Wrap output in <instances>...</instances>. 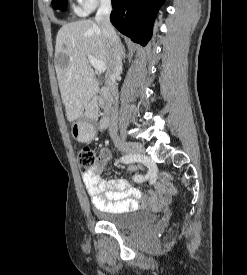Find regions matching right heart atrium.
I'll return each instance as SVG.
<instances>
[{"mask_svg":"<svg viewBox=\"0 0 247 275\" xmlns=\"http://www.w3.org/2000/svg\"><path fill=\"white\" fill-rule=\"evenodd\" d=\"M111 0H74V12L79 16H84L98 7L110 5Z\"/></svg>","mask_w":247,"mask_h":275,"instance_id":"1","label":"right heart atrium"}]
</instances>
